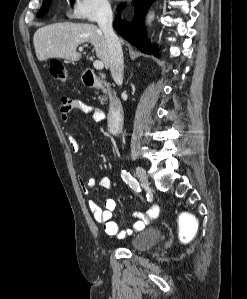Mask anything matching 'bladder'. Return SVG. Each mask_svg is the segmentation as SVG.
Listing matches in <instances>:
<instances>
[{
    "label": "bladder",
    "mask_w": 247,
    "mask_h": 299,
    "mask_svg": "<svg viewBox=\"0 0 247 299\" xmlns=\"http://www.w3.org/2000/svg\"><path fill=\"white\" fill-rule=\"evenodd\" d=\"M162 238V232L158 228H147L133 235L128 245L136 251H144L155 246Z\"/></svg>",
    "instance_id": "bladder-1"
}]
</instances>
